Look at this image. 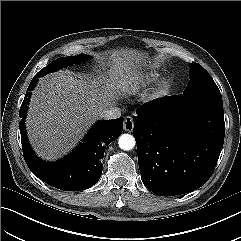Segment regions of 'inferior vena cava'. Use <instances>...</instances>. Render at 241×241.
<instances>
[{
    "instance_id": "inferior-vena-cava-1",
    "label": "inferior vena cava",
    "mask_w": 241,
    "mask_h": 241,
    "mask_svg": "<svg viewBox=\"0 0 241 241\" xmlns=\"http://www.w3.org/2000/svg\"><path fill=\"white\" fill-rule=\"evenodd\" d=\"M100 117L103 118V119H106V120L116 119V118L121 117V110L118 107H113L112 106V107H110L108 109L103 110L100 113Z\"/></svg>"
}]
</instances>
